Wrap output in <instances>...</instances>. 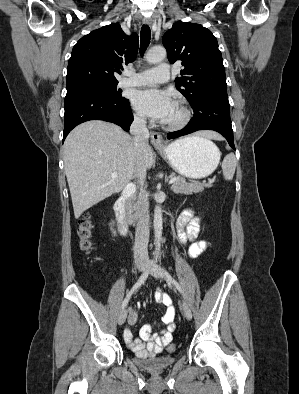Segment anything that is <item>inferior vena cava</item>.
Segmentation results:
<instances>
[{"label": "inferior vena cava", "instance_id": "inferior-vena-cava-1", "mask_svg": "<svg viewBox=\"0 0 299 394\" xmlns=\"http://www.w3.org/2000/svg\"><path fill=\"white\" fill-rule=\"evenodd\" d=\"M130 133L133 135L135 147L138 156L142 155L143 149L148 145L149 131L146 127L144 117L135 116L130 127ZM137 178L144 181L146 178V169L140 166ZM139 216L136 227L135 243H134V259L137 264L149 263L148 258V242H149V203L147 195L140 192L138 197Z\"/></svg>", "mask_w": 299, "mask_h": 394}]
</instances>
